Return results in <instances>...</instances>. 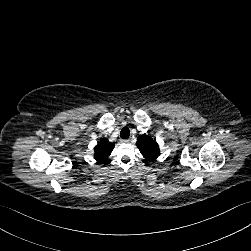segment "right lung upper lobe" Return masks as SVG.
Listing matches in <instances>:
<instances>
[{"label": "right lung upper lobe", "mask_w": 251, "mask_h": 251, "mask_svg": "<svg viewBox=\"0 0 251 251\" xmlns=\"http://www.w3.org/2000/svg\"><path fill=\"white\" fill-rule=\"evenodd\" d=\"M113 148V143H110L106 138L102 139L94 148V159L100 163H108L107 159Z\"/></svg>", "instance_id": "1"}]
</instances>
